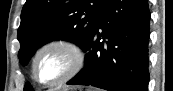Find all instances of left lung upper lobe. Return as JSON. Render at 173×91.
I'll list each match as a JSON object with an SVG mask.
<instances>
[{"instance_id": "left-lung-upper-lobe-1", "label": "left lung upper lobe", "mask_w": 173, "mask_h": 91, "mask_svg": "<svg viewBox=\"0 0 173 91\" xmlns=\"http://www.w3.org/2000/svg\"><path fill=\"white\" fill-rule=\"evenodd\" d=\"M107 1L27 0L18 29L20 62L27 65L40 46L58 39L74 42L84 50ZM29 90L31 88L27 83L24 91Z\"/></svg>"}]
</instances>
